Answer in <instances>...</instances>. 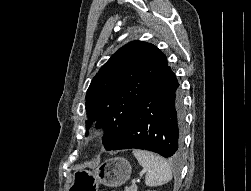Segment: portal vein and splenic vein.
Segmentation results:
<instances>
[{
	"mask_svg": "<svg viewBox=\"0 0 251 191\" xmlns=\"http://www.w3.org/2000/svg\"><path fill=\"white\" fill-rule=\"evenodd\" d=\"M135 181H140V179H132L133 185H134Z\"/></svg>",
	"mask_w": 251,
	"mask_h": 191,
	"instance_id": "18ae733b",
	"label": "portal vein and splenic vein"
}]
</instances>
